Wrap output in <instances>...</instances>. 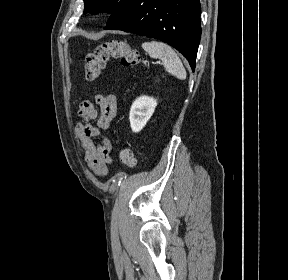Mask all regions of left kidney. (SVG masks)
Segmentation results:
<instances>
[{
  "label": "left kidney",
  "mask_w": 288,
  "mask_h": 280,
  "mask_svg": "<svg viewBox=\"0 0 288 280\" xmlns=\"http://www.w3.org/2000/svg\"><path fill=\"white\" fill-rule=\"evenodd\" d=\"M156 106V99L148 96H140L133 102L129 114L130 126L133 132H139L145 127Z\"/></svg>",
  "instance_id": "1"
}]
</instances>
